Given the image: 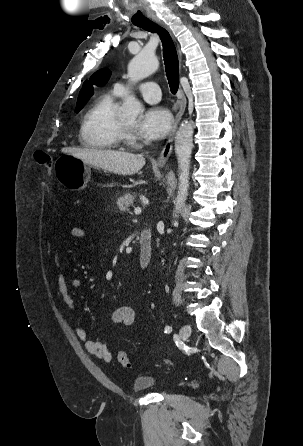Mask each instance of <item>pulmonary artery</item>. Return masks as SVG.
Returning <instances> with one entry per match:
<instances>
[{
	"instance_id": "pulmonary-artery-1",
	"label": "pulmonary artery",
	"mask_w": 303,
	"mask_h": 446,
	"mask_svg": "<svg viewBox=\"0 0 303 446\" xmlns=\"http://www.w3.org/2000/svg\"><path fill=\"white\" fill-rule=\"evenodd\" d=\"M114 88L121 95L126 94L129 91V86L125 83H116ZM136 90L141 97L148 103H157L161 98V91L157 83L155 82H143L140 83Z\"/></svg>"
}]
</instances>
